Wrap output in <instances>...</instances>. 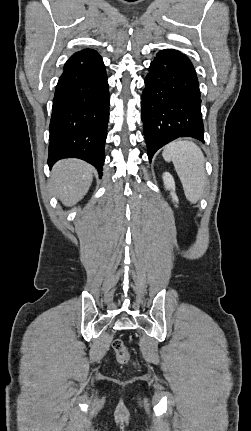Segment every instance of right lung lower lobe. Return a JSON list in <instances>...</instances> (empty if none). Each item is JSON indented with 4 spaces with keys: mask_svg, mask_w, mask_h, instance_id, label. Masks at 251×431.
Wrapping results in <instances>:
<instances>
[{
    "mask_svg": "<svg viewBox=\"0 0 251 431\" xmlns=\"http://www.w3.org/2000/svg\"><path fill=\"white\" fill-rule=\"evenodd\" d=\"M109 90L101 56L91 49L73 54L64 65L53 99L48 165L80 158L102 176L109 121Z\"/></svg>",
    "mask_w": 251,
    "mask_h": 431,
    "instance_id": "obj_1",
    "label": "right lung lower lobe"
}]
</instances>
